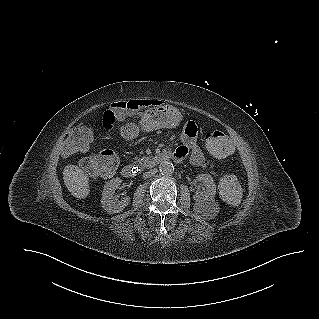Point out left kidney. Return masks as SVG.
<instances>
[{"label": "left kidney", "instance_id": "obj_1", "mask_svg": "<svg viewBox=\"0 0 319 319\" xmlns=\"http://www.w3.org/2000/svg\"><path fill=\"white\" fill-rule=\"evenodd\" d=\"M197 180L204 184L205 189L202 192H196L194 200L201 206H214L217 209V204L214 200L216 185L212 176L208 174H200L197 176Z\"/></svg>", "mask_w": 319, "mask_h": 319}]
</instances>
